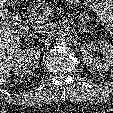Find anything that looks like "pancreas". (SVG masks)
I'll use <instances>...</instances> for the list:
<instances>
[{
	"instance_id": "pancreas-1",
	"label": "pancreas",
	"mask_w": 113,
	"mask_h": 113,
	"mask_svg": "<svg viewBox=\"0 0 113 113\" xmlns=\"http://www.w3.org/2000/svg\"><path fill=\"white\" fill-rule=\"evenodd\" d=\"M50 7L45 0H40L31 10V19L36 23H42L48 20L50 14H47V9Z\"/></svg>"
}]
</instances>
